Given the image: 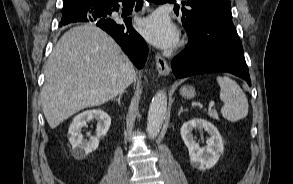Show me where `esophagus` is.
Segmentation results:
<instances>
[{"label": "esophagus", "mask_w": 293, "mask_h": 184, "mask_svg": "<svg viewBox=\"0 0 293 184\" xmlns=\"http://www.w3.org/2000/svg\"><path fill=\"white\" fill-rule=\"evenodd\" d=\"M156 69L161 75H169L170 68L166 60L159 54L155 55Z\"/></svg>", "instance_id": "obj_1"}]
</instances>
